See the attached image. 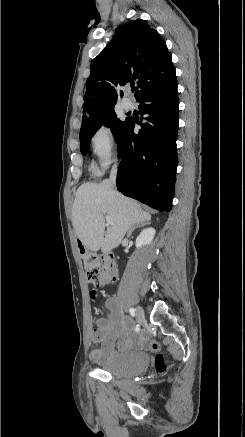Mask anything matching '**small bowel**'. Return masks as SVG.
I'll list each match as a JSON object with an SVG mask.
<instances>
[{
	"label": "small bowel",
	"mask_w": 245,
	"mask_h": 437,
	"mask_svg": "<svg viewBox=\"0 0 245 437\" xmlns=\"http://www.w3.org/2000/svg\"><path fill=\"white\" fill-rule=\"evenodd\" d=\"M106 306L111 311L109 319H100L92 332V357L97 361H105L114 356L119 350L143 346L146 339L136 331L131 330V322L119 312L116 297H109ZM118 339L122 342L116 348Z\"/></svg>",
	"instance_id": "obj_1"
}]
</instances>
